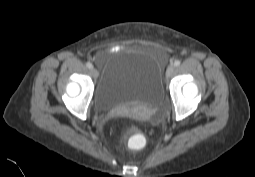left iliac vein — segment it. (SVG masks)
Wrapping results in <instances>:
<instances>
[{"label":"left iliac vein","instance_id":"4c4485c4","mask_svg":"<svg viewBox=\"0 0 255 177\" xmlns=\"http://www.w3.org/2000/svg\"><path fill=\"white\" fill-rule=\"evenodd\" d=\"M174 71H175V66L174 65H169L167 70H166V77L170 78L173 75Z\"/></svg>","mask_w":255,"mask_h":177}]
</instances>
